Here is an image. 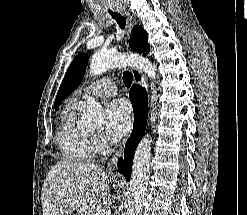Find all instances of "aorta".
<instances>
[{
	"label": "aorta",
	"instance_id": "762f6f07",
	"mask_svg": "<svg viewBox=\"0 0 247 215\" xmlns=\"http://www.w3.org/2000/svg\"><path fill=\"white\" fill-rule=\"evenodd\" d=\"M134 65L142 69L150 78H156L155 66L138 55H125L116 52H97L90 61V74L99 76L112 67ZM87 127L97 128L103 124L102 106L94 98L88 97L87 110L83 116ZM151 139L145 135L137 146L133 158L132 176L130 180V199L127 215H141L143 201L147 191V180L150 169Z\"/></svg>",
	"mask_w": 247,
	"mask_h": 215
}]
</instances>
